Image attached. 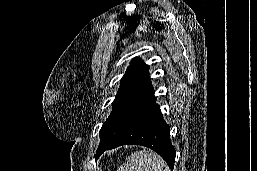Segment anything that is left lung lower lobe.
I'll list each match as a JSON object with an SVG mask.
<instances>
[{
  "instance_id": "0a47b994",
  "label": "left lung lower lobe",
  "mask_w": 257,
  "mask_h": 171,
  "mask_svg": "<svg viewBox=\"0 0 257 171\" xmlns=\"http://www.w3.org/2000/svg\"><path fill=\"white\" fill-rule=\"evenodd\" d=\"M121 145H143L157 152L168 164L174 167L176 151L171 144L170 128L163 119L161 110L154 98L114 139L99 146L95 159L106 150Z\"/></svg>"
}]
</instances>
